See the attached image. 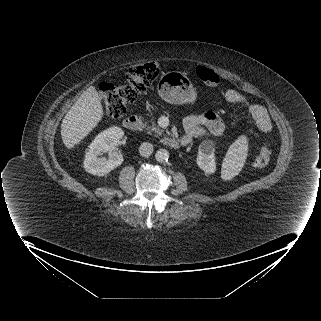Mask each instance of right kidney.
Listing matches in <instances>:
<instances>
[{
  "instance_id": "ca27d5eb",
  "label": "right kidney",
  "mask_w": 321,
  "mask_h": 321,
  "mask_svg": "<svg viewBox=\"0 0 321 321\" xmlns=\"http://www.w3.org/2000/svg\"><path fill=\"white\" fill-rule=\"evenodd\" d=\"M123 135V130L115 126L99 133L86 151L84 160L85 170L88 173L103 176L121 165L124 160L122 154L113 150ZM108 151V158L98 157L102 152Z\"/></svg>"
}]
</instances>
